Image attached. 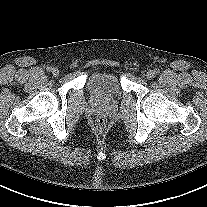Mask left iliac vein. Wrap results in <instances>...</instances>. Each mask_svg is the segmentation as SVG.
Returning a JSON list of instances; mask_svg holds the SVG:
<instances>
[{"label": "left iliac vein", "mask_w": 207, "mask_h": 207, "mask_svg": "<svg viewBox=\"0 0 207 207\" xmlns=\"http://www.w3.org/2000/svg\"><path fill=\"white\" fill-rule=\"evenodd\" d=\"M153 76H154V72L151 71V70L148 71V72L145 74V77H146L147 79H152Z\"/></svg>", "instance_id": "4c4485c4"}]
</instances>
